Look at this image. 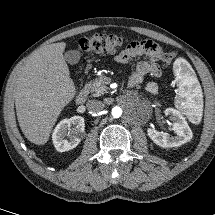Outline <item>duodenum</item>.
Masks as SVG:
<instances>
[{"instance_id":"410a0bca","label":"duodenum","mask_w":215,"mask_h":215,"mask_svg":"<svg viewBox=\"0 0 215 215\" xmlns=\"http://www.w3.org/2000/svg\"><path fill=\"white\" fill-rule=\"evenodd\" d=\"M87 97H88V89L86 87H83L76 97V102L78 104H83L87 100Z\"/></svg>"}]
</instances>
